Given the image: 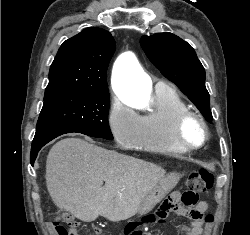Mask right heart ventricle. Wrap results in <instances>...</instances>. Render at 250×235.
<instances>
[{
    "mask_svg": "<svg viewBox=\"0 0 250 235\" xmlns=\"http://www.w3.org/2000/svg\"><path fill=\"white\" fill-rule=\"evenodd\" d=\"M189 110L187 104L169 85L155 88L151 107L140 116V136L137 148L158 154L178 156L186 153L173 137L175 118Z\"/></svg>",
    "mask_w": 250,
    "mask_h": 235,
    "instance_id": "right-heart-ventricle-1",
    "label": "right heart ventricle"
}]
</instances>
